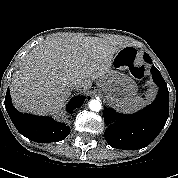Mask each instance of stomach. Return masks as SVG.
<instances>
[{
  "mask_svg": "<svg viewBox=\"0 0 178 178\" xmlns=\"http://www.w3.org/2000/svg\"><path fill=\"white\" fill-rule=\"evenodd\" d=\"M133 60L127 48L119 49L107 73L98 80L97 86L109 102L119 104L136 95L135 81L123 72L129 70V65Z\"/></svg>",
  "mask_w": 178,
  "mask_h": 178,
  "instance_id": "obj_1",
  "label": "stomach"
}]
</instances>
